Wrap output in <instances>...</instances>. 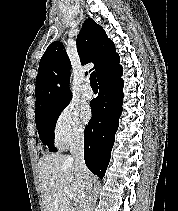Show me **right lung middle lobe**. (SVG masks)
Here are the masks:
<instances>
[{"label":"right lung middle lobe","instance_id":"obj_1","mask_svg":"<svg viewBox=\"0 0 178 211\" xmlns=\"http://www.w3.org/2000/svg\"><path fill=\"white\" fill-rule=\"evenodd\" d=\"M69 104V102H62L55 105H51L35 114V121L37 130L43 144L49 147L51 152L55 151L53 148L54 133L57 118L63 109Z\"/></svg>","mask_w":178,"mask_h":211}]
</instances>
